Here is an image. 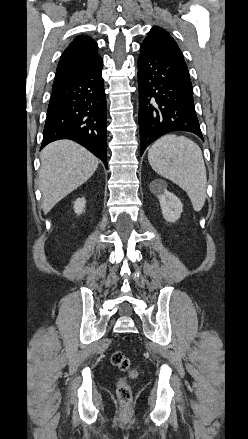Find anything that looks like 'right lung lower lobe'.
<instances>
[{
	"label": "right lung lower lobe",
	"mask_w": 248,
	"mask_h": 439,
	"mask_svg": "<svg viewBox=\"0 0 248 439\" xmlns=\"http://www.w3.org/2000/svg\"><path fill=\"white\" fill-rule=\"evenodd\" d=\"M103 62L53 86L41 149L59 139H71L87 148L107 167L106 96Z\"/></svg>",
	"instance_id": "98d812e1"
}]
</instances>
